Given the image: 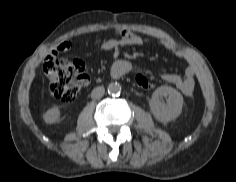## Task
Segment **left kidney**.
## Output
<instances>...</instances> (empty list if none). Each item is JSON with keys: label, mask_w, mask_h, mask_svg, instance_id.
<instances>
[{"label": "left kidney", "mask_w": 236, "mask_h": 182, "mask_svg": "<svg viewBox=\"0 0 236 182\" xmlns=\"http://www.w3.org/2000/svg\"><path fill=\"white\" fill-rule=\"evenodd\" d=\"M163 98H167V101ZM183 103L180 92L170 86H161L153 92L149 106L158 121L170 122L182 113Z\"/></svg>", "instance_id": "5707ae66"}]
</instances>
